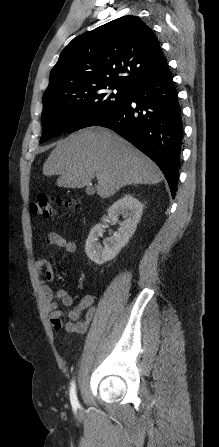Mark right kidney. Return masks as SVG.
Segmentation results:
<instances>
[{
    "label": "right kidney",
    "instance_id": "1",
    "mask_svg": "<svg viewBox=\"0 0 219 447\" xmlns=\"http://www.w3.org/2000/svg\"><path fill=\"white\" fill-rule=\"evenodd\" d=\"M143 205L133 195L125 194L122 198L114 202L103 216L102 222L96 224L90 231L85 252L88 258L98 265L114 259L121 249L129 242L134 234L137 224L142 215ZM119 215H122L124 221L120 224L118 233L104 240V247L98 242L102 236L107 222H117Z\"/></svg>",
    "mask_w": 219,
    "mask_h": 447
}]
</instances>
